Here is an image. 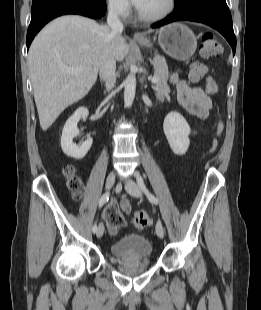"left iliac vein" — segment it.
I'll return each mask as SVG.
<instances>
[{
	"label": "left iliac vein",
	"mask_w": 261,
	"mask_h": 310,
	"mask_svg": "<svg viewBox=\"0 0 261 310\" xmlns=\"http://www.w3.org/2000/svg\"><path fill=\"white\" fill-rule=\"evenodd\" d=\"M125 189L131 196L136 197V198L141 197L140 188L133 180L129 179L125 182ZM155 229H156V233L158 237L163 238L164 228L160 220L157 221Z\"/></svg>",
	"instance_id": "obj_1"
}]
</instances>
